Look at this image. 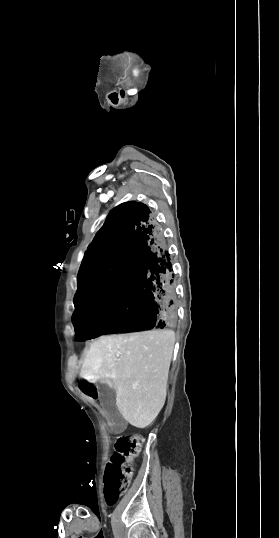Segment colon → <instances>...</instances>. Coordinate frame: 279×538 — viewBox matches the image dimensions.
Here are the masks:
<instances>
[{
	"instance_id": "obj_1",
	"label": "colon",
	"mask_w": 279,
	"mask_h": 538,
	"mask_svg": "<svg viewBox=\"0 0 279 538\" xmlns=\"http://www.w3.org/2000/svg\"><path fill=\"white\" fill-rule=\"evenodd\" d=\"M140 435L119 438L115 451L105 471V499L109 506L114 505L126 491L133 475V461L140 453L142 445Z\"/></svg>"
}]
</instances>
